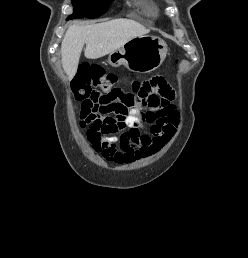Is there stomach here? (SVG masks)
<instances>
[{
    "instance_id": "1",
    "label": "stomach",
    "mask_w": 248,
    "mask_h": 258,
    "mask_svg": "<svg viewBox=\"0 0 248 258\" xmlns=\"http://www.w3.org/2000/svg\"><path fill=\"white\" fill-rule=\"evenodd\" d=\"M166 54L167 45L162 39L143 35L110 53L108 61L114 67L124 65L135 73H149L160 67Z\"/></svg>"
}]
</instances>
